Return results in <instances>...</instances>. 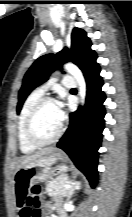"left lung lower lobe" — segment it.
Returning <instances> with one entry per match:
<instances>
[{
	"instance_id": "0a47b994",
	"label": "left lung lower lobe",
	"mask_w": 132,
	"mask_h": 217,
	"mask_svg": "<svg viewBox=\"0 0 132 217\" xmlns=\"http://www.w3.org/2000/svg\"><path fill=\"white\" fill-rule=\"evenodd\" d=\"M99 73L100 67L97 66L85 77V107L70 114L69 128L57 143V147L64 150L75 166L86 175L92 187H95L98 177V149L101 145L105 115V94L101 90L103 81Z\"/></svg>"
}]
</instances>
